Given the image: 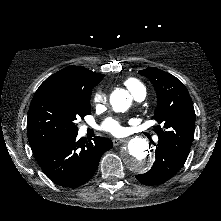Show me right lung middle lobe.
<instances>
[{
  "label": "right lung middle lobe",
  "instance_id": "obj_1",
  "mask_svg": "<svg viewBox=\"0 0 221 221\" xmlns=\"http://www.w3.org/2000/svg\"><path fill=\"white\" fill-rule=\"evenodd\" d=\"M92 87L48 86L38 89L31 101L27 134L31 145L78 132L76 119L91 113Z\"/></svg>",
  "mask_w": 221,
  "mask_h": 221
}]
</instances>
